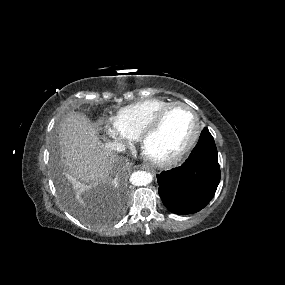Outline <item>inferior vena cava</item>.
I'll return each mask as SVG.
<instances>
[{"mask_svg": "<svg viewBox=\"0 0 285 285\" xmlns=\"http://www.w3.org/2000/svg\"><path fill=\"white\" fill-rule=\"evenodd\" d=\"M106 149L109 153V155H111L112 153H120L126 150V147L124 144H122L121 142L118 141H112V142H108L106 144Z\"/></svg>", "mask_w": 285, "mask_h": 285, "instance_id": "602c4592", "label": "inferior vena cava"}]
</instances>
